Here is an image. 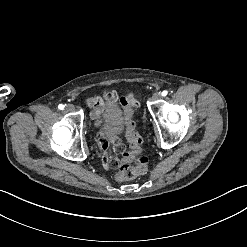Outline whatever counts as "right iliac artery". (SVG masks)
I'll return each mask as SVG.
<instances>
[{
    "mask_svg": "<svg viewBox=\"0 0 247 247\" xmlns=\"http://www.w3.org/2000/svg\"><path fill=\"white\" fill-rule=\"evenodd\" d=\"M58 108H59L60 110H63V109L65 108V106H64L63 104H59V105H58Z\"/></svg>",
    "mask_w": 247,
    "mask_h": 247,
    "instance_id": "right-iliac-artery-1",
    "label": "right iliac artery"
}]
</instances>
